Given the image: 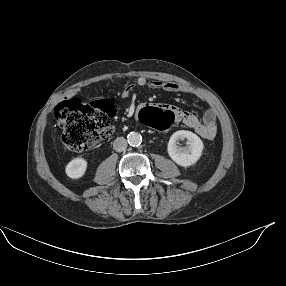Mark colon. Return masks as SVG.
Returning a JSON list of instances; mask_svg holds the SVG:
<instances>
[{
	"label": "colon",
	"instance_id": "obj_1",
	"mask_svg": "<svg viewBox=\"0 0 286 286\" xmlns=\"http://www.w3.org/2000/svg\"><path fill=\"white\" fill-rule=\"evenodd\" d=\"M115 113L114 102L98 99L83 103L68 98L57 104L55 118L62 129V143L67 150L84 151L113 133L111 119ZM139 123L154 132H171L173 114L161 107H146L138 116Z\"/></svg>",
	"mask_w": 286,
	"mask_h": 286
}]
</instances>
